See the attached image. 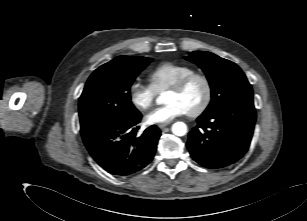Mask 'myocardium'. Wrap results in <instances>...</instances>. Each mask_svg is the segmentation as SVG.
Instances as JSON below:
<instances>
[{
  "label": "myocardium",
  "mask_w": 307,
  "mask_h": 221,
  "mask_svg": "<svg viewBox=\"0 0 307 221\" xmlns=\"http://www.w3.org/2000/svg\"><path fill=\"white\" fill-rule=\"evenodd\" d=\"M194 80H200L205 88L204 99L201 104L194 110L188 111L187 115L192 118L201 116L210 106L213 97V85L210 78L199 72L190 73L169 87V91L181 92L186 89Z\"/></svg>",
  "instance_id": "f54148a6"
}]
</instances>
